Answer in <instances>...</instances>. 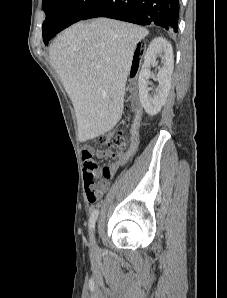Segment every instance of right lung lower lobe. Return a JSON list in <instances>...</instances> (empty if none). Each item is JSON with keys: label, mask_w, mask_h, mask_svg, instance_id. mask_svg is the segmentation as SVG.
<instances>
[{"label": "right lung lower lobe", "mask_w": 227, "mask_h": 298, "mask_svg": "<svg viewBox=\"0 0 227 298\" xmlns=\"http://www.w3.org/2000/svg\"><path fill=\"white\" fill-rule=\"evenodd\" d=\"M108 17L177 32L179 0H100L81 20Z\"/></svg>", "instance_id": "98d812e1"}]
</instances>
